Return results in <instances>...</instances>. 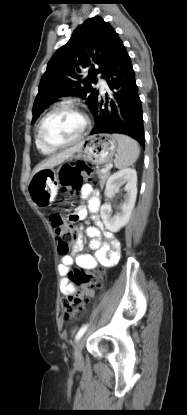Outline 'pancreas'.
Instances as JSON below:
<instances>
[{"label":"pancreas","mask_w":187,"mask_h":415,"mask_svg":"<svg viewBox=\"0 0 187 415\" xmlns=\"http://www.w3.org/2000/svg\"><path fill=\"white\" fill-rule=\"evenodd\" d=\"M98 173H99V171H97ZM109 177V173L107 172V173H103V174H100L99 173V175H98V178L100 179V187L101 188H103L104 187V184H105V182H106V180H107V178Z\"/></svg>","instance_id":"1"}]
</instances>
